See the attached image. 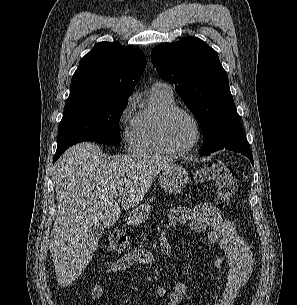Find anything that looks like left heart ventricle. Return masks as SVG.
<instances>
[{"instance_id":"left-heart-ventricle-1","label":"left heart ventricle","mask_w":297,"mask_h":305,"mask_svg":"<svg viewBox=\"0 0 297 305\" xmlns=\"http://www.w3.org/2000/svg\"><path fill=\"white\" fill-rule=\"evenodd\" d=\"M167 135L175 147H185L195 138V127L184 114H175L168 122Z\"/></svg>"}]
</instances>
